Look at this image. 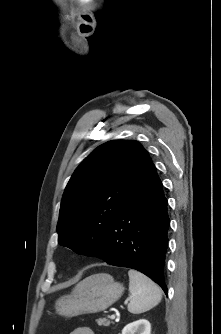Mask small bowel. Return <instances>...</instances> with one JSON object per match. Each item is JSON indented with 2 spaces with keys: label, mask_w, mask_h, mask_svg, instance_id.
<instances>
[{
  "label": "small bowel",
  "mask_w": 221,
  "mask_h": 334,
  "mask_svg": "<svg viewBox=\"0 0 221 334\" xmlns=\"http://www.w3.org/2000/svg\"><path fill=\"white\" fill-rule=\"evenodd\" d=\"M70 334H94L88 327H79L74 329Z\"/></svg>",
  "instance_id": "obj_1"
}]
</instances>
